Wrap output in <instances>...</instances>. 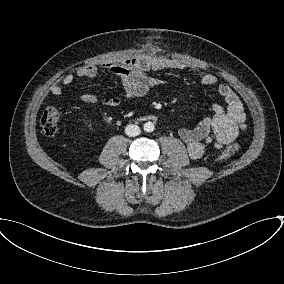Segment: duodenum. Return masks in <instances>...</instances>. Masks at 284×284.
<instances>
[{
    "label": "duodenum",
    "instance_id": "obj_1",
    "mask_svg": "<svg viewBox=\"0 0 284 284\" xmlns=\"http://www.w3.org/2000/svg\"><path fill=\"white\" fill-rule=\"evenodd\" d=\"M150 119L156 120V117L155 116H151Z\"/></svg>",
    "mask_w": 284,
    "mask_h": 284
}]
</instances>
